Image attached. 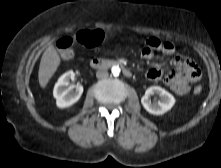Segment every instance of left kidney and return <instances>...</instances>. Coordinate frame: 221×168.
I'll use <instances>...</instances> for the list:
<instances>
[{"mask_svg":"<svg viewBox=\"0 0 221 168\" xmlns=\"http://www.w3.org/2000/svg\"><path fill=\"white\" fill-rule=\"evenodd\" d=\"M157 94L160 96L158 102H151L150 95ZM141 103L145 110L153 115H162L169 111L175 104V98L160 86L149 87L145 95L141 98Z\"/></svg>","mask_w":221,"mask_h":168,"instance_id":"obj_1","label":"left kidney"}]
</instances>
